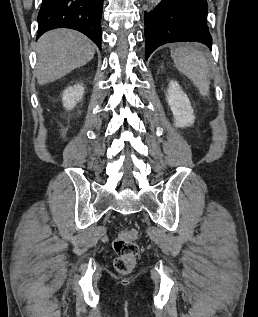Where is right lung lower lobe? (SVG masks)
I'll use <instances>...</instances> for the list:
<instances>
[{
  "instance_id": "1",
  "label": "right lung lower lobe",
  "mask_w": 258,
  "mask_h": 317,
  "mask_svg": "<svg viewBox=\"0 0 258 317\" xmlns=\"http://www.w3.org/2000/svg\"><path fill=\"white\" fill-rule=\"evenodd\" d=\"M103 0H42L38 14L39 38L55 28H71L88 36L101 49Z\"/></svg>"
}]
</instances>
